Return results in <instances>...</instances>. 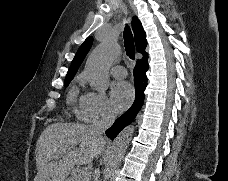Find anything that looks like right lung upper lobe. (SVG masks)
<instances>
[{
  "label": "right lung upper lobe",
  "mask_w": 228,
  "mask_h": 181,
  "mask_svg": "<svg viewBox=\"0 0 228 181\" xmlns=\"http://www.w3.org/2000/svg\"><path fill=\"white\" fill-rule=\"evenodd\" d=\"M132 27L135 35V44L137 52L141 53L143 56L148 55L145 52L147 41H146V34L143 30L142 24L139 21V19L134 16L132 19ZM93 43V37H88L85 42L79 47L71 66L68 70V73L66 75L65 81L72 80L75 76L77 69L81 65L82 61L84 60L86 54L90 50Z\"/></svg>",
  "instance_id": "right-lung-upper-lobe-1"
}]
</instances>
